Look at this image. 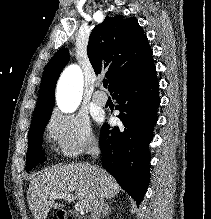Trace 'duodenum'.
I'll return each instance as SVG.
<instances>
[{
	"mask_svg": "<svg viewBox=\"0 0 211 219\" xmlns=\"http://www.w3.org/2000/svg\"><path fill=\"white\" fill-rule=\"evenodd\" d=\"M66 214V219H80L79 217H77L74 213L72 212H67Z\"/></svg>",
	"mask_w": 211,
	"mask_h": 219,
	"instance_id": "obj_1",
	"label": "duodenum"
}]
</instances>
